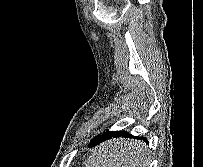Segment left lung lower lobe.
<instances>
[{"label": "left lung lower lobe", "mask_w": 203, "mask_h": 167, "mask_svg": "<svg viewBox=\"0 0 203 167\" xmlns=\"http://www.w3.org/2000/svg\"><path fill=\"white\" fill-rule=\"evenodd\" d=\"M118 137H122V138H134L137 140H142L146 143H148V140L146 137H134L129 135L126 131H106L105 133H103L102 135H98L96 137H94L91 142H90V147H95L96 145H99L100 143H103L107 140H111L112 138H118ZM112 141V140H111ZM122 141V140H121ZM115 142H117V140H115ZM114 149L118 148V144H116L114 147ZM138 148H135L134 151L131 150V152L133 153H137L138 152Z\"/></svg>", "instance_id": "obj_1"}]
</instances>
